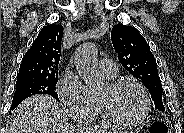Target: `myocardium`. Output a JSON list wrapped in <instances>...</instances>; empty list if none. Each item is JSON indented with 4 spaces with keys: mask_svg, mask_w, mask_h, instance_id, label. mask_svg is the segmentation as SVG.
I'll use <instances>...</instances> for the list:
<instances>
[{
    "mask_svg": "<svg viewBox=\"0 0 184 133\" xmlns=\"http://www.w3.org/2000/svg\"><path fill=\"white\" fill-rule=\"evenodd\" d=\"M107 85H108L109 89L111 91H114V92L118 91L124 87L136 88L143 96L144 110H143L142 114L135 119H124V118L116 116L110 110V108L105 103V101L103 99H101L100 97H98V104H99L100 110H101L102 115L105 118V120H107L110 123L122 125V126H135V125H138V124L142 123L143 121H145V119L148 117V115L151 111V99H150V96H149L147 90L145 89V87L142 84H140L139 82L134 81V80H116V81H112V82L108 83Z\"/></svg>",
    "mask_w": 184,
    "mask_h": 133,
    "instance_id": "1",
    "label": "myocardium"
}]
</instances>
